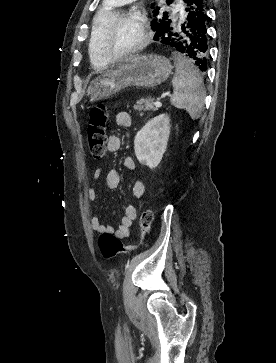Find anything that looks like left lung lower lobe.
<instances>
[{
	"label": "left lung lower lobe",
	"mask_w": 276,
	"mask_h": 363,
	"mask_svg": "<svg viewBox=\"0 0 276 363\" xmlns=\"http://www.w3.org/2000/svg\"><path fill=\"white\" fill-rule=\"evenodd\" d=\"M206 0H187L184 15L171 25L159 29L154 39L173 47L206 71L207 49Z\"/></svg>",
	"instance_id": "1"
}]
</instances>
